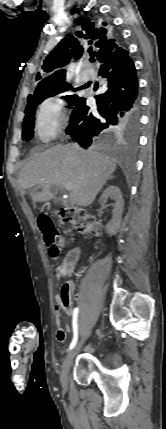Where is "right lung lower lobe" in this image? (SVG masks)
Here are the masks:
<instances>
[{"mask_svg": "<svg viewBox=\"0 0 166 429\" xmlns=\"http://www.w3.org/2000/svg\"><path fill=\"white\" fill-rule=\"evenodd\" d=\"M124 50L116 58L101 62L107 91L96 96L97 109L91 110L85 98L78 97L74 103L66 133L84 148L105 131L135 134L138 129V78L134 62Z\"/></svg>", "mask_w": 166, "mask_h": 429, "instance_id": "obj_1", "label": "right lung lower lobe"}]
</instances>
